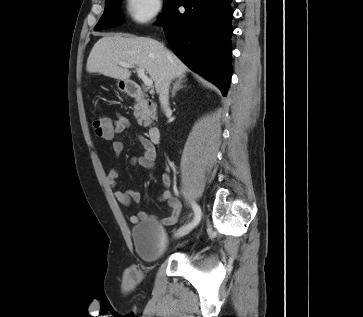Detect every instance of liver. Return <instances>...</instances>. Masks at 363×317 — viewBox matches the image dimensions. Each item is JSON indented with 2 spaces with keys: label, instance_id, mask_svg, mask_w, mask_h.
<instances>
[{
  "label": "liver",
  "instance_id": "6515ba94",
  "mask_svg": "<svg viewBox=\"0 0 363 317\" xmlns=\"http://www.w3.org/2000/svg\"><path fill=\"white\" fill-rule=\"evenodd\" d=\"M120 62L143 68L154 81L159 92L165 76H185L188 67L157 40L147 37H123L122 34L107 35L93 46L87 59L86 70L119 80H128L131 72Z\"/></svg>",
  "mask_w": 363,
  "mask_h": 317
}]
</instances>
